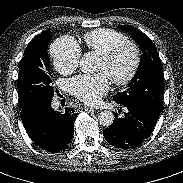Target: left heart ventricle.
I'll use <instances>...</instances> for the list:
<instances>
[{"label":"left heart ventricle","instance_id":"obj_1","mask_svg":"<svg viewBox=\"0 0 183 183\" xmlns=\"http://www.w3.org/2000/svg\"><path fill=\"white\" fill-rule=\"evenodd\" d=\"M132 63L133 52L130 49H126L110 64H106L102 59H100L98 71L105 73L110 79L120 78L129 72Z\"/></svg>","mask_w":183,"mask_h":183}]
</instances>
